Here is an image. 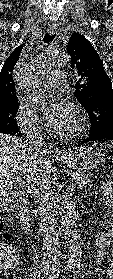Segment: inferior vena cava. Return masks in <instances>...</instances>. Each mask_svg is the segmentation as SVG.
<instances>
[{
	"mask_svg": "<svg viewBox=\"0 0 113 279\" xmlns=\"http://www.w3.org/2000/svg\"><path fill=\"white\" fill-rule=\"evenodd\" d=\"M28 147L36 155L43 156L46 144L38 129H34L28 135ZM38 214L40 216V231L43 241V268L47 274L58 275L60 270V244L54 222L53 205L51 202V191L48 180H42L39 184Z\"/></svg>",
	"mask_w": 113,
	"mask_h": 279,
	"instance_id": "602c4592",
	"label": "inferior vena cava"
}]
</instances>
